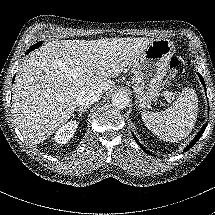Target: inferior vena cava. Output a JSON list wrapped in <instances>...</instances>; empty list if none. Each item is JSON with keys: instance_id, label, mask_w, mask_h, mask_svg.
I'll return each instance as SVG.
<instances>
[{"instance_id": "602c4592", "label": "inferior vena cava", "mask_w": 215, "mask_h": 215, "mask_svg": "<svg viewBox=\"0 0 215 215\" xmlns=\"http://www.w3.org/2000/svg\"><path fill=\"white\" fill-rule=\"evenodd\" d=\"M103 93L100 92H80L76 96V104L80 108H88L92 104L98 102L100 98L102 97Z\"/></svg>"}]
</instances>
